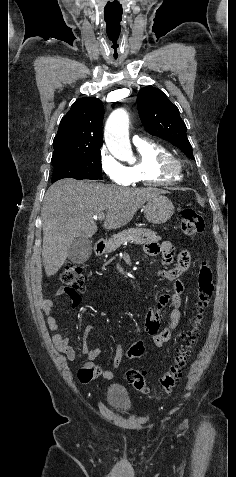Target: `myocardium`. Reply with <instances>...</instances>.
Segmentation results:
<instances>
[{
	"label": "myocardium",
	"instance_id": "f54148a6",
	"mask_svg": "<svg viewBox=\"0 0 236 477\" xmlns=\"http://www.w3.org/2000/svg\"><path fill=\"white\" fill-rule=\"evenodd\" d=\"M183 170L182 161L174 156L162 157L157 162L156 172L165 178L180 175Z\"/></svg>",
	"mask_w": 236,
	"mask_h": 477
}]
</instances>
